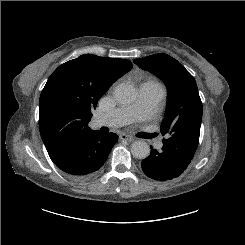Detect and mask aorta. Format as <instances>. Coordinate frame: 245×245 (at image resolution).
I'll return each instance as SVG.
<instances>
[{"label": "aorta", "mask_w": 245, "mask_h": 245, "mask_svg": "<svg viewBox=\"0 0 245 245\" xmlns=\"http://www.w3.org/2000/svg\"><path fill=\"white\" fill-rule=\"evenodd\" d=\"M136 89L128 84H119L115 87L114 97L116 101L123 105H129L136 99ZM131 153L137 159H145L150 154V147L145 141H135L131 145Z\"/></svg>", "instance_id": "762f6f07"}]
</instances>
